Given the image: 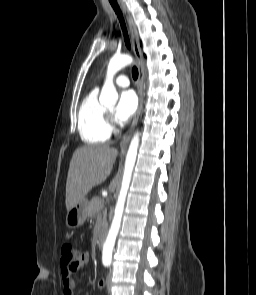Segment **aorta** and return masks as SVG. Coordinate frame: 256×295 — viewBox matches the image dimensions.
Wrapping results in <instances>:
<instances>
[{
  "instance_id": "aorta-1",
  "label": "aorta",
  "mask_w": 256,
  "mask_h": 295,
  "mask_svg": "<svg viewBox=\"0 0 256 295\" xmlns=\"http://www.w3.org/2000/svg\"><path fill=\"white\" fill-rule=\"evenodd\" d=\"M133 61L129 55L114 56L110 59L105 83L102 87L99 101L105 106H114L118 100V93L113 83L114 75L123 67L131 64ZM139 146V133L136 132L131 140L129 149L127 151L122 185L118 200L115 207L114 217L109 229L106 241L103 245L102 259L104 262L110 263L112 260V252L115 245L116 237L118 235L121 219L123 215L124 205L126 201L127 192L129 189L133 168L136 161L137 151Z\"/></svg>"
}]
</instances>
